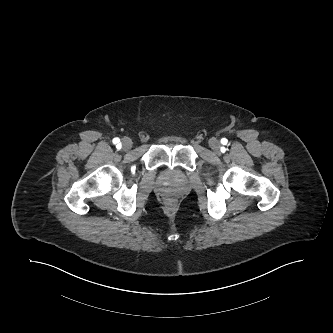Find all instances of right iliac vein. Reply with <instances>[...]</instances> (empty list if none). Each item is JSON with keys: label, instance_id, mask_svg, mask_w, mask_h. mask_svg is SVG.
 Instances as JSON below:
<instances>
[{"label": "right iliac vein", "instance_id": "1", "mask_svg": "<svg viewBox=\"0 0 333 333\" xmlns=\"http://www.w3.org/2000/svg\"><path fill=\"white\" fill-rule=\"evenodd\" d=\"M121 145L124 151H128L132 148V140L130 138H123Z\"/></svg>", "mask_w": 333, "mask_h": 333}]
</instances>
